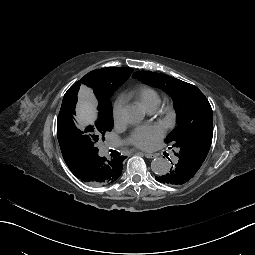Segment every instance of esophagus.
I'll list each match as a JSON object with an SVG mask.
<instances>
[{
    "label": "esophagus",
    "mask_w": 255,
    "mask_h": 255,
    "mask_svg": "<svg viewBox=\"0 0 255 255\" xmlns=\"http://www.w3.org/2000/svg\"><path fill=\"white\" fill-rule=\"evenodd\" d=\"M144 156L147 158H155L156 157L155 154H151V153H145Z\"/></svg>",
    "instance_id": "esophagus-1"
}]
</instances>
